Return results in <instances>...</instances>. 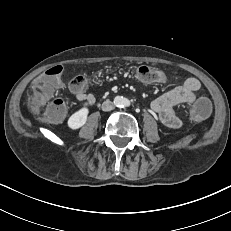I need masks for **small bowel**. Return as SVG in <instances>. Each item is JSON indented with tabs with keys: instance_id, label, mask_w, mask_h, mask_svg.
Segmentation results:
<instances>
[{
	"instance_id": "obj_1",
	"label": "small bowel",
	"mask_w": 231,
	"mask_h": 231,
	"mask_svg": "<svg viewBox=\"0 0 231 231\" xmlns=\"http://www.w3.org/2000/svg\"><path fill=\"white\" fill-rule=\"evenodd\" d=\"M199 88L200 83L197 79L188 78L180 86L153 100L151 109L157 114L159 121L164 126L172 129L179 128L181 120L177 115L176 108L180 105L192 106L198 98L196 92ZM70 90L83 106L90 107L95 103L93 94L85 91H74L71 88Z\"/></svg>"
}]
</instances>
